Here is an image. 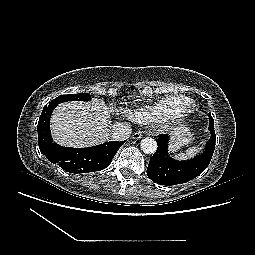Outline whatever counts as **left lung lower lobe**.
I'll return each mask as SVG.
<instances>
[{"instance_id": "left-lung-lower-lobe-1", "label": "left lung lower lobe", "mask_w": 255, "mask_h": 255, "mask_svg": "<svg viewBox=\"0 0 255 255\" xmlns=\"http://www.w3.org/2000/svg\"><path fill=\"white\" fill-rule=\"evenodd\" d=\"M210 119L209 131L211 137L207 142L205 151L187 161L173 160L168 154V140L167 134H160L157 139L158 148L149 161L147 168L148 177L165 186H171L188 182L198 175H200L209 165L215 149V131L214 120L211 114H208Z\"/></svg>"}]
</instances>
